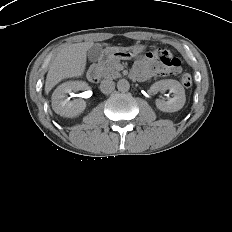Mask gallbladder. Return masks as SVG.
Instances as JSON below:
<instances>
[{
    "label": "gallbladder",
    "instance_id": "gallbladder-1",
    "mask_svg": "<svg viewBox=\"0 0 232 232\" xmlns=\"http://www.w3.org/2000/svg\"><path fill=\"white\" fill-rule=\"evenodd\" d=\"M102 55V47L98 44L93 45L87 52L89 61L96 62Z\"/></svg>",
    "mask_w": 232,
    "mask_h": 232
}]
</instances>
